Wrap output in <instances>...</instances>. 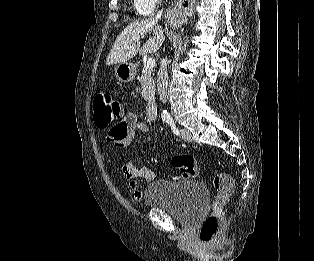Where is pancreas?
<instances>
[{"instance_id":"pancreas-1","label":"pancreas","mask_w":314,"mask_h":261,"mask_svg":"<svg viewBox=\"0 0 314 261\" xmlns=\"http://www.w3.org/2000/svg\"><path fill=\"white\" fill-rule=\"evenodd\" d=\"M139 82L142 85V96L148 103L155 100V78L153 70L145 67L139 77Z\"/></svg>"}]
</instances>
